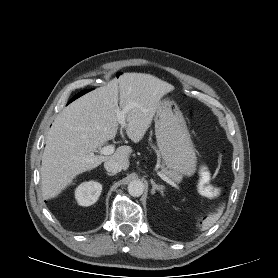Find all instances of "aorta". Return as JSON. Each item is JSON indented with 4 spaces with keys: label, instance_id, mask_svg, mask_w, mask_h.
Returning <instances> with one entry per match:
<instances>
[{
    "label": "aorta",
    "instance_id": "762f6f07",
    "mask_svg": "<svg viewBox=\"0 0 278 278\" xmlns=\"http://www.w3.org/2000/svg\"><path fill=\"white\" fill-rule=\"evenodd\" d=\"M144 184L140 180H133L128 184V193L133 197H139L143 194Z\"/></svg>",
    "mask_w": 278,
    "mask_h": 278
}]
</instances>
